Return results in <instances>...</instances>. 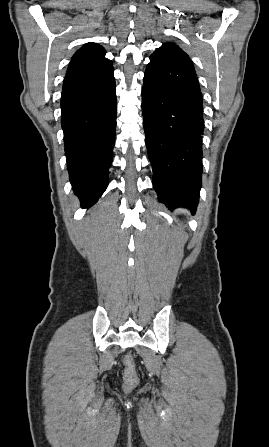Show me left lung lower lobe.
<instances>
[{"label":"left lung lower lobe","instance_id":"1","mask_svg":"<svg viewBox=\"0 0 269 447\" xmlns=\"http://www.w3.org/2000/svg\"><path fill=\"white\" fill-rule=\"evenodd\" d=\"M145 141L159 201L195 210L201 188L203 105L185 52L157 49L142 88Z\"/></svg>","mask_w":269,"mask_h":447}]
</instances>
